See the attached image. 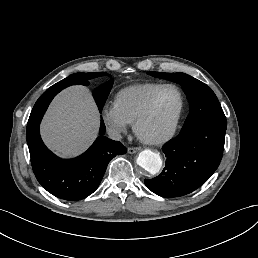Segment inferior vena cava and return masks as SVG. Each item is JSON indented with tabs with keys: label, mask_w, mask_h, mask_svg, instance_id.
Wrapping results in <instances>:
<instances>
[{
	"label": "inferior vena cava",
	"mask_w": 258,
	"mask_h": 258,
	"mask_svg": "<svg viewBox=\"0 0 258 258\" xmlns=\"http://www.w3.org/2000/svg\"><path fill=\"white\" fill-rule=\"evenodd\" d=\"M108 132V135L111 139L113 140H120L121 139V134H120V131H118L117 129L115 128H109L107 130Z\"/></svg>",
	"instance_id": "inferior-vena-cava-1"
}]
</instances>
